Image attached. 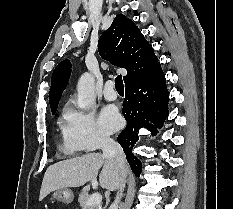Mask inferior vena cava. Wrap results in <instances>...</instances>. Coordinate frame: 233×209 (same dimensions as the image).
<instances>
[{"mask_svg":"<svg viewBox=\"0 0 233 209\" xmlns=\"http://www.w3.org/2000/svg\"><path fill=\"white\" fill-rule=\"evenodd\" d=\"M100 146L103 151V156L106 158L113 159L119 168L120 185L118 188L116 198L110 206V209H118V203L123 196V190L126 183V157L122 147L109 137H103L101 139Z\"/></svg>","mask_w":233,"mask_h":209,"instance_id":"inferior-vena-cava-1","label":"inferior vena cava"}]
</instances>
